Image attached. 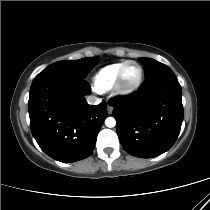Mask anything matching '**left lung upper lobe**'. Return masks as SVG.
<instances>
[{
	"mask_svg": "<svg viewBox=\"0 0 210 210\" xmlns=\"http://www.w3.org/2000/svg\"><path fill=\"white\" fill-rule=\"evenodd\" d=\"M138 60L144 65L145 78H149L155 73L169 68L165 64L151 58H139Z\"/></svg>",
	"mask_w": 210,
	"mask_h": 210,
	"instance_id": "5c2ea615",
	"label": "left lung upper lobe"
}]
</instances>
